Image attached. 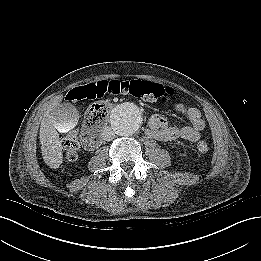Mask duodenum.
<instances>
[{
	"instance_id": "410a0bca",
	"label": "duodenum",
	"mask_w": 261,
	"mask_h": 261,
	"mask_svg": "<svg viewBox=\"0 0 261 261\" xmlns=\"http://www.w3.org/2000/svg\"><path fill=\"white\" fill-rule=\"evenodd\" d=\"M106 128L107 127H105L104 129H106ZM84 136L87 139L94 140V144H93L94 148L97 147L101 143V141H102V136L98 137L97 139H93V135H92V133L89 130H87L85 132Z\"/></svg>"
}]
</instances>
